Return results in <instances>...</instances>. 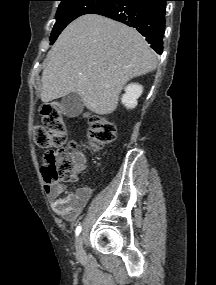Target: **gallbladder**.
<instances>
[{
	"label": "gallbladder",
	"instance_id": "1",
	"mask_svg": "<svg viewBox=\"0 0 216 285\" xmlns=\"http://www.w3.org/2000/svg\"><path fill=\"white\" fill-rule=\"evenodd\" d=\"M83 107L82 97L77 93H70L61 100V110L67 117H77L81 114Z\"/></svg>",
	"mask_w": 216,
	"mask_h": 285
}]
</instances>
